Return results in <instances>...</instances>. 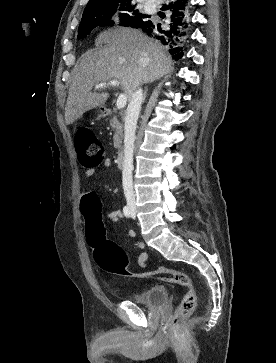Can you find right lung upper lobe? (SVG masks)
<instances>
[{"label": "right lung upper lobe", "mask_w": 276, "mask_h": 363, "mask_svg": "<svg viewBox=\"0 0 276 363\" xmlns=\"http://www.w3.org/2000/svg\"><path fill=\"white\" fill-rule=\"evenodd\" d=\"M112 1H125V2H131L132 3L134 0H90L86 7L96 5V4H100V3L112 2ZM144 19H145V15H144ZM144 22H146V19L144 20ZM142 25L143 24H141L139 27H141Z\"/></svg>", "instance_id": "cb5924a9"}]
</instances>
